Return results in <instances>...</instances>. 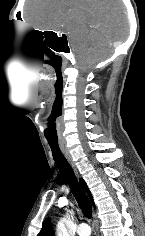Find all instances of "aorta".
<instances>
[{
  "instance_id": "1",
  "label": "aorta",
  "mask_w": 145,
  "mask_h": 236,
  "mask_svg": "<svg viewBox=\"0 0 145 236\" xmlns=\"http://www.w3.org/2000/svg\"><path fill=\"white\" fill-rule=\"evenodd\" d=\"M57 236H73L72 221L67 213L57 225Z\"/></svg>"
}]
</instances>
